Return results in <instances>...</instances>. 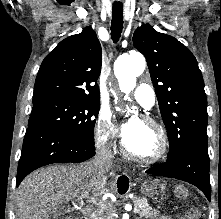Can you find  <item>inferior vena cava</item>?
Instances as JSON below:
<instances>
[{
    "label": "inferior vena cava",
    "mask_w": 221,
    "mask_h": 219,
    "mask_svg": "<svg viewBox=\"0 0 221 219\" xmlns=\"http://www.w3.org/2000/svg\"><path fill=\"white\" fill-rule=\"evenodd\" d=\"M112 152L108 145L98 146L93 164L100 175L106 174L112 166Z\"/></svg>",
    "instance_id": "inferior-vena-cava-1"
}]
</instances>
